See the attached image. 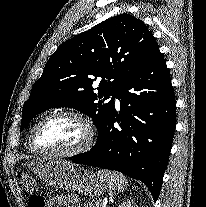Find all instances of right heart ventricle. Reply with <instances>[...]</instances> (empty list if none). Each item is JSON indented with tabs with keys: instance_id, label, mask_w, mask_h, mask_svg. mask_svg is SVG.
I'll return each mask as SVG.
<instances>
[{
	"instance_id": "obj_1",
	"label": "right heart ventricle",
	"mask_w": 206,
	"mask_h": 207,
	"mask_svg": "<svg viewBox=\"0 0 206 207\" xmlns=\"http://www.w3.org/2000/svg\"><path fill=\"white\" fill-rule=\"evenodd\" d=\"M30 145V144H29ZM30 149L32 150V151H34L32 148H31V146H30Z\"/></svg>"
}]
</instances>
